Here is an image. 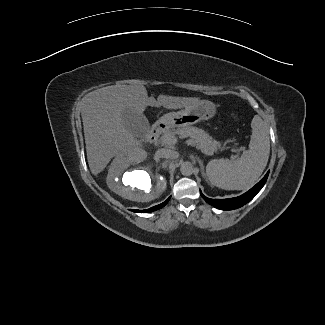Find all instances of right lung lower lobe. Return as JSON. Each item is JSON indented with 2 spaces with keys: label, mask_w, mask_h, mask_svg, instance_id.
I'll return each instance as SVG.
<instances>
[{
  "label": "right lung lower lobe",
  "mask_w": 325,
  "mask_h": 325,
  "mask_svg": "<svg viewBox=\"0 0 325 325\" xmlns=\"http://www.w3.org/2000/svg\"><path fill=\"white\" fill-rule=\"evenodd\" d=\"M169 199H170V198H169ZM169 199H167L165 202H163V203H161V204H159V205H156V206H154V207H151V208H149V209H146V210H133V211H134V212H139V213H148V212L156 211V210H158V209L164 207V206L167 204V202L169 201Z\"/></svg>",
  "instance_id": "1"
}]
</instances>
